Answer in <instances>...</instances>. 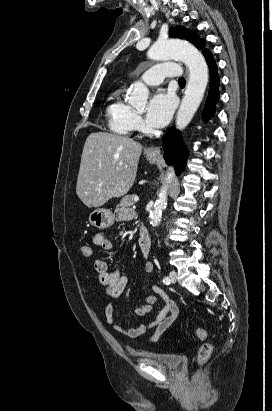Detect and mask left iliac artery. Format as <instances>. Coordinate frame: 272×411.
Masks as SVG:
<instances>
[{
    "instance_id": "1",
    "label": "left iliac artery",
    "mask_w": 272,
    "mask_h": 411,
    "mask_svg": "<svg viewBox=\"0 0 272 411\" xmlns=\"http://www.w3.org/2000/svg\"><path fill=\"white\" fill-rule=\"evenodd\" d=\"M163 283L166 284V285H169L171 283L170 278L169 277H164L163 278Z\"/></svg>"
}]
</instances>
